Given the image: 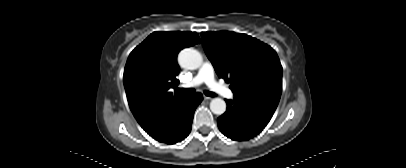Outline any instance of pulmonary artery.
Returning <instances> with one entry per match:
<instances>
[{
  "label": "pulmonary artery",
  "mask_w": 406,
  "mask_h": 168,
  "mask_svg": "<svg viewBox=\"0 0 406 168\" xmlns=\"http://www.w3.org/2000/svg\"><path fill=\"white\" fill-rule=\"evenodd\" d=\"M202 83H206L212 91L223 97H233V93L230 91V89L216 81L213 67L209 62H204L198 70L196 76L190 82L184 84L183 87H195Z\"/></svg>",
  "instance_id": "e3ab8cb5"
}]
</instances>
